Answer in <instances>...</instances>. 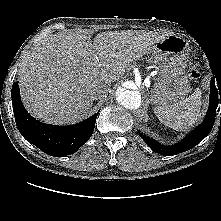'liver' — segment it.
<instances>
[{
    "label": "liver",
    "mask_w": 221,
    "mask_h": 221,
    "mask_svg": "<svg viewBox=\"0 0 221 221\" xmlns=\"http://www.w3.org/2000/svg\"><path fill=\"white\" fill-rule=\"evenodd\" d=\"M163 37L135 30L98 33L93 41L84 31L50 35L37 43L20 65L22 102L46 123L82 120L93 106L94 91L101 86L109 89L134 60L151 52Z\"/></svg>",
    "instance_id": "obj_1"
}]
</instances>
